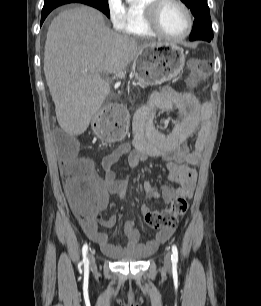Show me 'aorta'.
Returning <instances> with one entry per match:
<instances>
[{
  "instance_id": "aorta-1",
  "label": "aorta",
  "mask_w": 261,
  "mask_h": 306,
  "mask_svg": "<svg viewBox=\"0 0 261 306\" xmlns=\"http://www.w3.org/2000/svg\"><path fill=\"white\" fill-rule=\"evenodd\" d=\"M129 3H132V2H134L135 0H127Z\"/></svg>"
}]
</instances>
